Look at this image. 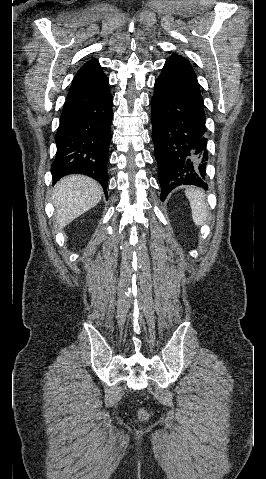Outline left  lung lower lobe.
<instances>
[{"label": "left lung lower lobe", "mask_w": 266, "mask_h": 479, "mask_svg": "<svg viewBox=\"0 0 266 479\" xmlns=\"http://www.w3.org/2000/svg\"><path fill=\"white\" fill-rule=\"evenodd\" d=\"M151 106L161 200L182 184L207 189L205 113L195 73L166 61L155 81Z\"/></svg>", "instance_id": "left-lung-lower-lobe-1"}]
</instances>
